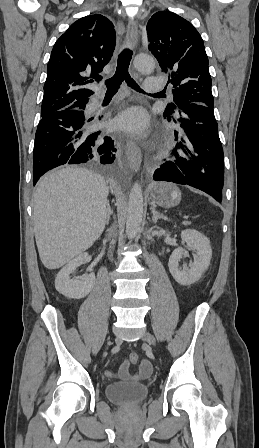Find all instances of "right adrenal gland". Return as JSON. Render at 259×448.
I'll list each match as a JSON object with an SVG mask.
<instances>
[{"instance_id":"obj_1","label":"right adrenal gland","mask_w":259,"mask_h":448,"mask_svg":"<svg viewBox=\"0 0 259 448\" xmlns=\"http://www.w3.org/2000/svg\"><path fill=\"white\" fill-rule=\"evenodd\" d=\"M112 214H113V210H111L109 200H107V220H106L107 226L109 224L110 216H112Z\"/></svg>"}]
</instances>
